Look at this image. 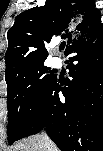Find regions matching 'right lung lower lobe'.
Listing matches in <instances>:
<instances>
[{"mask_svg":"<svg viewBox=\"0 0 103 151\" xmlns=\"http://www.w3.org/2000/svg\"><path fill=\"white\" fill-rule=\"evenodd\" d=\"M65 55L73 79L55 77L20 139L44 129L61 151H92L102 134L103 26L76 39Z\"/></svg>","mask_w":103,"mask_h":151,"instance_id":"98d812e1","label":"right lung lower lobe"}]
</instances>
